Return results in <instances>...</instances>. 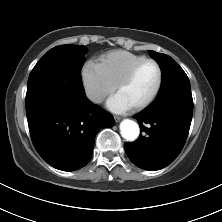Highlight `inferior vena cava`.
Returning a JSON list of instances; mask_svg holds the SVG:
<instances>
[{
  "label": "inferior vena cava",
  "instance_id": "inferior-vena-cava-1",
  "mask_svg": "<svg viewBox=\"0 0 222 222\" xmlns=\"http://www.w3.org/2000/svg\"><path fill=\"white\" fill-rule=\"evenodd\" d=\"M88 97L93 101V102H96V103H99L103 100V97L98 95V94H95V93H89L88 94Z\"/></svg>",
  "mask_w": 222,
  "mask_h": 222
}]
</instances>
